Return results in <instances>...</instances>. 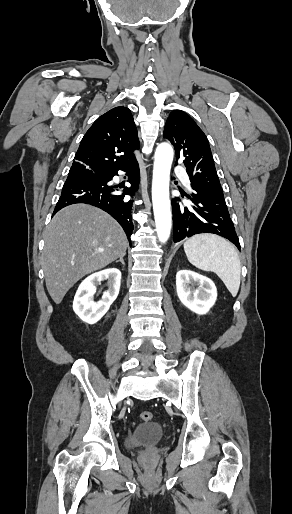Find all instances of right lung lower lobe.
<instances>
[{
  "label": "right lung lower lobe",
  "instance_id": "98d812e1",
  "mask_svg": "<svg viewBox=\"0 0 292 514\" xmlns=\"http://www.w3.org/2000/svg\"><path fill=\"white\" fill-rule=\"evenodd\" d=\"M120 170L128 174V181L131 184L130 187L121 190L122 194L118 193V186L108 184L115 175H118V170L106 174H69L53 215L71 204H91L115 218L130 241L134 228L131 215L133 200L125 198V195L132 196L138 189L140 180L138 162L135 161Z\"/></svg>",
  "mask_w": 292,
  "mask_h": 514
}]
</instances>
